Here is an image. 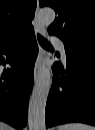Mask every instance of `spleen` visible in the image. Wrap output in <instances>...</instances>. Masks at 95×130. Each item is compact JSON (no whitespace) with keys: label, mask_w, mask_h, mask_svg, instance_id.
Returning <instances> with one entry per match:
<instances>
[{"label":"spleen","mask_w":95,"mask_h":130,"mask_svg":"<svg viewBox=\"0 0 95 130\" xmlns=\"http://www.w3.org/2000/svg\"><path fill=\"white\" fill-rule=\"evenodd\" d=\"M58 130H94V128L87 124L69 123L59 126Z\"/></svg>","instance_id":"obj_1"}]
</instances>
